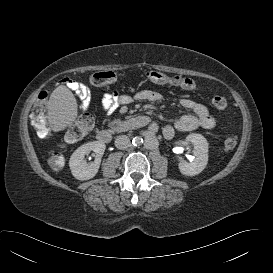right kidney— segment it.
I'll return each instance as SVG.
<instances>
[{
  "label": "right kidney",
  "mask_w": 273,
  "mask_h": 273,
  "mask_svg": "<svg viewBox=\"0 0 273 273\" xmlns=\"http://www.w3.org/2000/svg\"><path fill=\"white\" fill-rule=\"evenodd\" d=\"M105 148V144L101 141L88 142L78 147L69 160L72 175L81 181L93 178L99 170ZM91 151L94 152L93 156L95 160L94 162L87 163L85 156Z\"/></svg>",
  "instance_id": "ca27d5eb"
}]
</instances>
